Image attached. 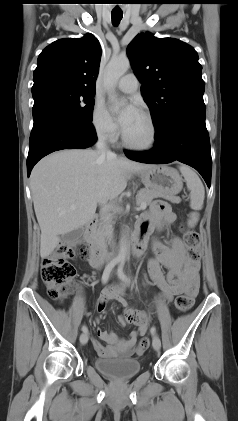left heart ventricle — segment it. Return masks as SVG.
I'll return each instance as SVG.
<instances>
[{
    "label": "left heart ventricle",
    "instance_id": "left-heart-ventricle-1",
    "mask_svg": "<svg viewBox=\"0 0 238 421\" xmlns=\"http://www.w3.org/2000/svg\"><path fill=\"white\" fill-rule=\"evenodd\" d=\"M127 139L134 144H145L150 139V127L147 120L138 113L124 128Z\"/></svg>",
    "mask_w": 238,
    "mask_h": 421
}]
</instances>
